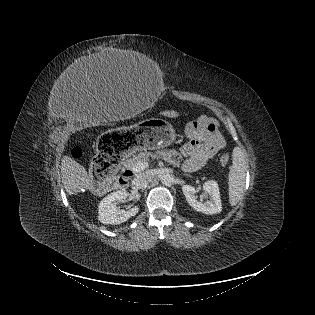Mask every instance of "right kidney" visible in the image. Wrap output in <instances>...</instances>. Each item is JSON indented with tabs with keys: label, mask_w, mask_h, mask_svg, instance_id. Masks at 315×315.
<instances>
[{
	"label": "right kidney",
	"mask_w": 315,
	"mask_h": 315,
	"mask_svg": "<svg viewBox=\"0 0 315 315\" xmlns=\"http://www.w3.org/2000/svg\"><path fill=\"white\" fill-rule=\"evenodd\" d=\"M125 189L113 192L102 199L98 205V220L103 224L117 225L126 222L132 216L138 213L137 206L129 209L128 211L119 209L114 202L121 201L127 197Z\"/></svg>",
	"instance_id": "ca27d5eb"
}]
</instances>
